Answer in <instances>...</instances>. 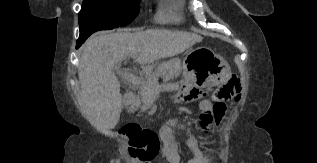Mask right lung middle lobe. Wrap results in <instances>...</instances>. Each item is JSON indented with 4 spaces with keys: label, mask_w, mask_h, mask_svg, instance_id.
<instances>
[{
    "label": "right lung middle lobe",
    "mask_w": 317,
    "mask_h": 163,
    "mask_svg": "<svg viewBox=\"0 0 317 163\" xmlns=\"http://www.w3.org/2000/svg\"><path fill=\"white\" fill-rule=\"evenodd\" d=\"M140 0H84L79 12L80 36L85 41L93 32L126 26L138 15Z\"/></svg>",
    "instance_id": "1"
}]
</instances>
